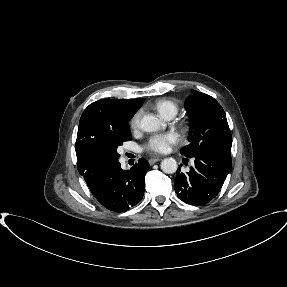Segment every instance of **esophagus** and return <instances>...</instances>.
<instances>
[{
	"label": "esophagus",
	"instance_id": "obj_1",
	"mask_svg": "<svg viewBox=\"0 0 287 287\" xmlns=\"http://www.w3.org/2000/svg\"><path fill=\"white\" fill-rule=\"evenodd\" d=\"M162 159V157L158 156V157H153L151 159H149V163L152 165V164H155L156 162L160 161Z\"/></svg>",
	"mask_w": 287,
	"mask_h": 287
}]
</instances>
